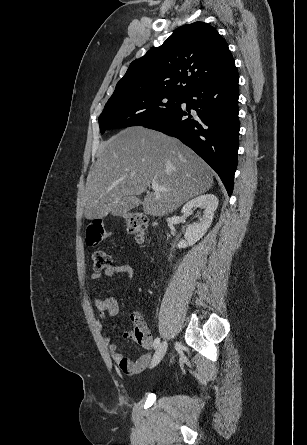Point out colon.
Masks as SVG:
<instances>
[{
	"instance_id": "1",
	"label": "colon",
	"mask_w": 307,
	"mask_h": 445,
	"mask_svg": "<svg viewBox=\"0 0 307 445\" xmlns=\"http://www.w3.org/2000/svg\"><path fill=\"white\" fill-rule=\"evenodd\" d=\"M127 230L135 239L142 243L146 237L148 222L145 216L139 213H126L123 216ZM110 233L105 229L102 220L96 219L91 221L86 229V244L90 247L97 246L104 239L108 238ZM93 267L96 271L105 270L111 266V258L103 250H95L92 253ZM135 329L132 338L141 346H148L152 339L143 322L141 314L136 313L132 316Z\"/></svg>"
}]
</instances>
